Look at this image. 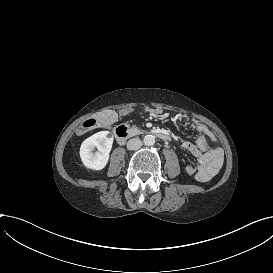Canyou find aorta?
<instances>
[{"label": "aorta", "mask_w": 273, "mask_h": 273, "mask_svg": "<svg viewBox=\"0 0 273 273\" xmlns=\"http://www.w3.org/2000/svg\"><path fill=\"white\" fill-rule=\"evenodd\" d=\"M143 142L147 146H152L155 143V137L153 135H146Z\"/></svg>", "instance_id": "aorta-1"}]
</instances>
